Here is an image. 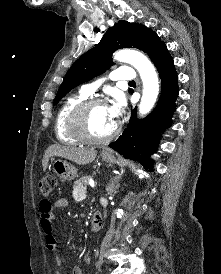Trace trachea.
<instances>
[{
	"label": "trachea",
	"mask_w": 221,
	"mask_h": 274,
	"mask_svg": "<svg viewBox=\"0 0 221 274\" xmlns=\"http://www.w3.org/2000/svg\"><path fill=\"white\" fill-rule=\"evenodd\" d=\"M129 83H130V84H134L135 82H134V81H130Z\"/></svg>",
	"instance_id": "obj_1"
}]
</instances>
